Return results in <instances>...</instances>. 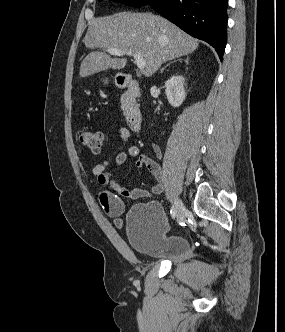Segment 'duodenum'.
I'll list each match as a JSON object with an SVG mask.
<instances>
[{
	"label": "duodenum",
	"mask_w": 285,
	"mask_h": 332,
	"mask_svg": "<svg viewBox=\"0 0 285 332\" xmlns=\"http://www.w3.org/2000/svg\"><path fill=\"white\" fill-rule=\"evenodd\" d=\"M118 84L125 89L127 100L126 122L134 132H139L142 128V114L137 107L136 100L140 94L138 83L129 74H122L118 77Z\"/></svg>",
	"instance_id": "410a0bca"
}]
</instances>
